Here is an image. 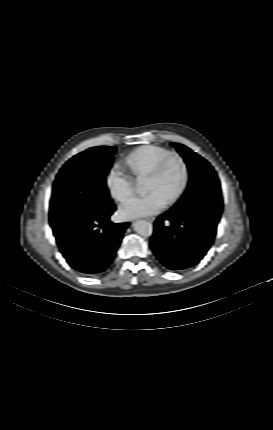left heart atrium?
<instances>
[{"mask_svg":"<svg viewBox=\"0 0 273 430\" xmlns=\"http://www.w3.org/2000/svg\"><path fill=\"white\" fill-rule=\"evenodd\" d=\"M166 202L167 200L158 191H151L145 195L129 198L120 206L118 213L123 219L148 216L163 210Z\"/></svg>","mask_w":273,"mask_h":430,"instance_id":"1","label":"left heart atrium"}]
</instances>
